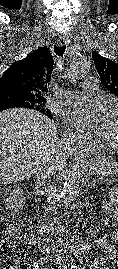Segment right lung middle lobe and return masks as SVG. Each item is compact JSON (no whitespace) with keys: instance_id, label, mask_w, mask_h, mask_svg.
Returning a JSON list of instances; mask_svg holds the SVG:
<instances>
[{"instance_id":"dd1d6c3e","label":"right lung middle lobe","mask_w":118,"mask_h":269,"mask_svg":"<svg viewBox=\"0 0 118 269\" xmlns=\"http://www.w3.org/2000/svg\"><path fill=\"white\" fill-rule=\"evenodd\" d=\"M9 100L17 107H27V108H40L43 107L44 103L35 98L23 96V95H11Z\"/></svg>"}]
</instances>
